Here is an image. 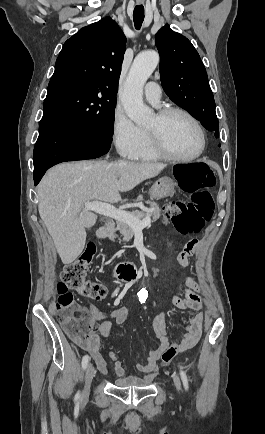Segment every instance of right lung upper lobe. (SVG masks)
I'll list each match as a JSON object with an SVG mask.
<instances>
[{"label": "right lung upper lobe", "instance_id": "right-lung-upper-lobe-1", "mask_svg": "<svg viewBox=\"0 0 265 434\" xmlns=\"http://www.w3.org/2000/svg\"><path fill=\"white\" fill-rule=\"evenodd\" d=\"M126 38L111 17L83 27L68 39L56 60L51 79L88 77L118 89Z\"/></svg>", "mask_w": 265, "mask_h": 434}]
</instances>
